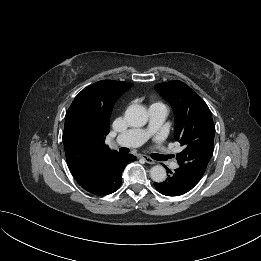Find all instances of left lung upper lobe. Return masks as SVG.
Listing matches in <instances>:
<instances>
[{
  "label": "left lung upper lobe",
  "mask_w": 261,
  "mask_h": 261,
  "mask_svg": "<svg viewBox=\"0 0 261 261\" xmlns=\"http://www.w3.org/2000/svg\"><path fill=\"white\" fill-rule=\"evenodd\" d=\"M156 91L168 101L175 115V140L184 150L177 154L179 168L199 182L212 157L215 126L203 99L181 81L160 83Z\"/></svg>",
  "instance_id": "1"
}]
</instances>
